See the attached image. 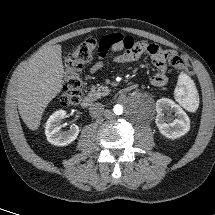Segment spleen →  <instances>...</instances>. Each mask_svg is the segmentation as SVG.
<instances>
[{
    "instance_id": "obj_1",
    "label": "spleen",
    "mask_w": 215,
    "mask_h": 215,
    "mask_svg": "<svg viewBox=\"0 0 215 215\" xmlns=\"http://www.w3.org/2000/svg\"><path fill=\"white\" fill-rule=\"evenodd\" d=\"M186 92L187 96L184 98ZM177 101L186 109L194 110L198 105L197 91L193 81L187 75H181L175 89Z\"/></svg>"
}]
</instances>
